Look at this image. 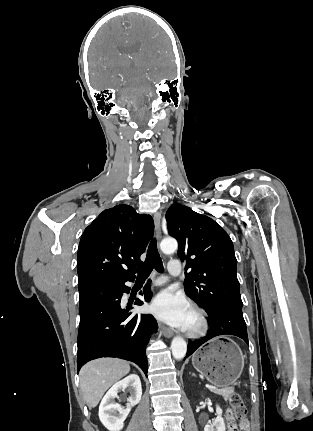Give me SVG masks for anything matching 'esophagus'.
I'll use <instances>...</instances> for the list:
<instances>
[{"label":"esophagus","mask_w":313,"mask_h":431,"mask_svg":"<svg viewBox=\"0 0 313 431\" xmlns=\"http://www.w3.org/2000/svg\"><path fill=\"white\" fill-rule=\"evenodd\" d=\"M153 219H154L157 238L160 239L161 238V214H160V212H156L154 214ZM161 330H162L163 335L166 338H171L173 336V332L169 328H167L166 326L162 325Z\"/></svg>","instance_id":"1"}]
</instances>
